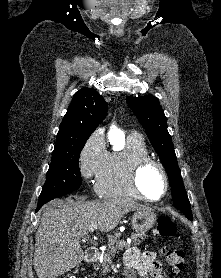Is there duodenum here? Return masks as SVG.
Returning <instances> with one entry per match:
<instances>
[{
	"label": "duodenum",
	"mask_w": 221,
	"mask_h": 278,
	"mask_svg": "<svg viewBox=\"0 0 221 278\" xmlns=\"http://www.w3.org/2000/svg\"><path fill=\"white\" fill-rule=\"evenodd\" d=\"M98 256L99 252L95 247L90 246L85 250V259L87 264L93 263Z\"/></svg>",
	"instance_id": "1"
}]
</instances>
